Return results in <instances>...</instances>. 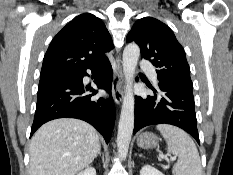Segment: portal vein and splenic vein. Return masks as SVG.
Here are the masks:
<instances>
[{"mask_svg": "<svg viewBox=\"0 0 233 175\" xmlns=\"http://www.w3.org/2000/svg\"><path fill=\"white\" fill-rule=\"evenodd\" d=\"M168 161H175L176 158L175 157H171L170 159L167 158Z\"/></svg>", "mask_w": 233, "mask_h": 175, "instance_id": "18ae733b", "label": "portal vein and splenic vein"}]
</instances>
